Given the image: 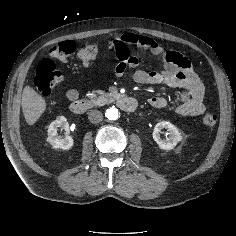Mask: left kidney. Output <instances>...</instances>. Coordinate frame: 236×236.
Segmentation results:
<instances>
[{
	"instance_id": "obj_1",
	"label": "left kidney",
	"mask_w": 236,
	"mask_h": 236,
	"mask_svg": "<svg viewBox=\"0 0 236 236\" xmlns=\"http://www.w3.org/2000/svg\"><path fill=\"white\" fill-rule=\"evenodd\" d=\"M162 129H167L169 138L166 140L161 139L160 133ZM153 139L162 150H172L176 147L177 143L182 141L181 132L170 122L161 121L156 124L153 131Z\"/></svg>"
}]
</instances>
